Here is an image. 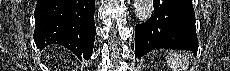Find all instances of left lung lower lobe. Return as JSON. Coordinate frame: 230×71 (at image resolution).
Instances as JSON below:
<instances>
[{
  "label": "left lung lower lobe",
  "mask_w": 230,
  "mask_h": 71,
  "mask_svg": "<svg viewBox=\"0 0 230 71\" xmlns=\"http://www.w3.org/2000/svg\"><path fill=\"white\" fill-rule=\"evenodd\" d=\"M150 19L137 24L135 55L140 58L153 49L198 51L192 0H153Z\"/></svg>",
  "instance_id": "0a47b994"
}]
</instances>
